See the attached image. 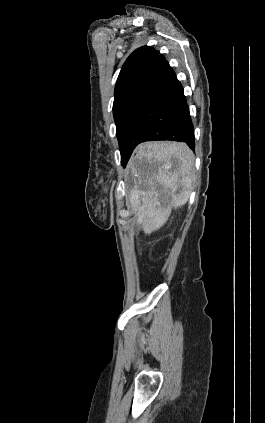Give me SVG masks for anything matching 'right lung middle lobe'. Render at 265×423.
<instances>
[{"label": "right lung middle lobe", "instance_id": "dd1d6c3e", "mask_svg": "<svg viewBox=\"0 0 265 423\" xmlns=\"http://www.w3.org/2000/svg\"><path fill=\"white\" fill-rule=\"evenodd\" d=\"M146 95L147 94L143 93L132 94L114 102L113 104V115L116 124V135L119 141L122 164H124L127 159L126 152L121 143L124 131L129 125L133 115L144 101Z\"/></svg>", "mask_w": 265, "mask_h": 423}]
</instances>
